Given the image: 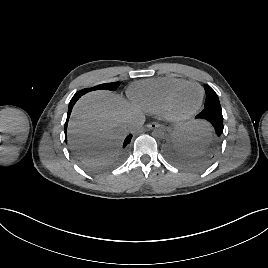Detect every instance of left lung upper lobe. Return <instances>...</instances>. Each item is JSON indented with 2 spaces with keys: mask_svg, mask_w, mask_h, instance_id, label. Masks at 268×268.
<instances>
[{
  "mask_svg": "<svg viewBox=\"0 0 268 268\" xmlns=\"http://www.w3.org/2000/svg\"><path fill=\"white\" fill-rule=\"evenodd\" d=\"M204 89L206 92V100H205V108H217L221 109V105L219 102L218 95L215 93V91L207 84L204 85Z\"/></svg>",
  "mask_w": 268,
  "mask_h": 268,
  "instance_id": "5c2ea615",
  "label": "left lung upper lobe"
}]
</instances>
